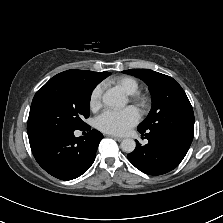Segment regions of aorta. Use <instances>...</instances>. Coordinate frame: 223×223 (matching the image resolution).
<instances>
[{"label": "aorta", "instance_id": "aorta-1", "mask_svg": "<svg viewBox=\"0 0 223 223\" xmlns=\"http://www.w3.org/2000/svg\"><path fill=\"white\" fill-rule=\"evenodd\" d=\"M103 103L109 107L123 108L126 105V98L117 89L111 88L103 95ZM120 146L124 152L131 153L134 151L136 143L133 139L128 138L122 140Z\"/></svg>", "mask_w": 223, "mask_h": 223}]
</instances>
